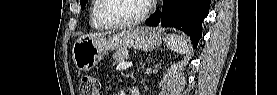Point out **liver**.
<instances>
[{
  "label": "liver",
  "mask_w": 277,
  "mask_h": 95,
  "mask_svg": "<svg viewBox=\"0 0 277 95\" xmlns=\"http://www.w3.org/2000/svg\"><path fill=\"white\" fill-rule=\"evenodd\" d=\"M106 35V33H95V34H88V35H86V37H90V38H99V37H103V36H105Z\"/></svg>",
  "instance_id": "1"
}]
</instances>
